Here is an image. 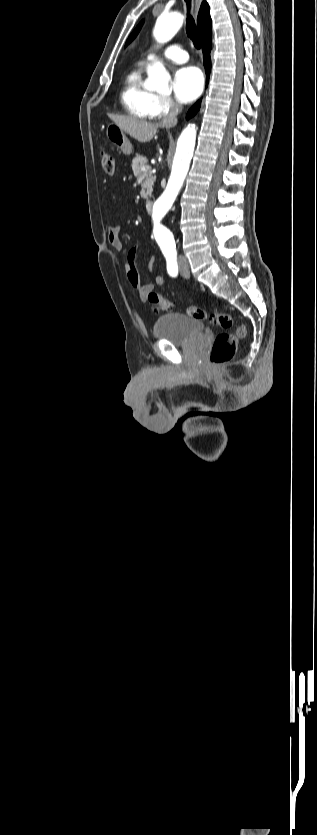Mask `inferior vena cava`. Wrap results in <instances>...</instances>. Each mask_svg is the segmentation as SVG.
Here are the masks:
<instances>
[{"mask_svg": "<svg viewBox=\"0 0 317 835\" xmlns=\"http://www.w3.org/2000/svg\"><path fill=\"white\" fill-rule=\"evenodd\" d=\"M182 111V106L179 103H172L171 110L168 116L164 117L160 122L162 127L170 128L177 124V115Z\"/></svg>", "mask_w": 317, "mask_h": 835, "instance_id": "1", "label": "inferior vena cava"}]
</instances>
